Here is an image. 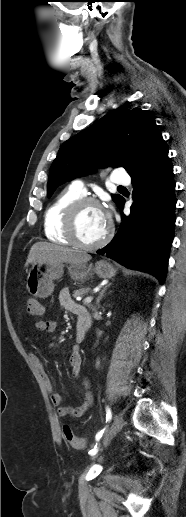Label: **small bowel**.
<instances>
[{
	"label": "small bowel",
	"mask_w": 186,
	"mask_h": 517,
	"mask_svg": "<svg viewBox=\"0 0 186 517\" xmlns=\"http://www.w3.org/2000/svg\"><path fill=\"white\" fill-rule=\"evenodd\" d=\"M59 300L61 305L68 311L78 315L79 311L84 307L80 304L76 303L70 294V291L64 289L59 294ZM57 323L55 320H39L35 322L34 329L38 331H44L48 333H52L56 330ZM81 339L78 337V333L75 335V344L72 346L71 354H70V364L72 368V375L74 378H78L80 376L81 367H82V357L79 350V344L81 343ZM29 358L34 366L37 368L47 390L50 393L52 403L58 407L57 412L60 417H80L82 416L92 405L93 396L90 391V385L88 379H83V386L85 389L84 400L78 406H67L64 405V395L56 391L53 387L52 381L49 378L48 374L44 369V365L40 357L34 353H29Z\"/></svg>",
	"instance_id": "obj_1"
}]
</instances>
